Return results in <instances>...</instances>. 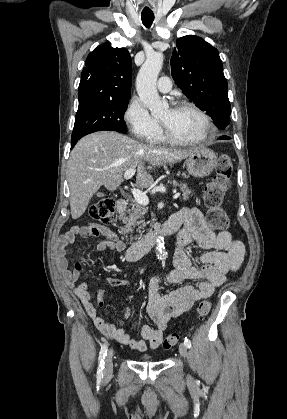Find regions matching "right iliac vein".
I'll use <instances>...</instances> for the list:
<instances>
[{
	"mask_svg": "<svg viewBox=\"0 0 287 419\" xmlns=\"http://www.w3.org/2000/svg\"><path fill=\"white\" fill-rule=\"evenodd\" d=\"M113 372V351L111 350L105 359L104 378L111 377Z\"/></svg>",
	"mask_w": 287,
	"mask_h": 419,
	"instance_id": "63e3f726",
	"label": "right iliac vein"
}]
</instances>
